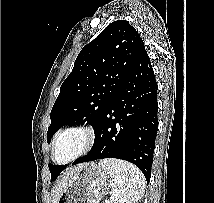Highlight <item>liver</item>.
I'll return each instance as SVG.
<instances>
[{"mask_svg": "<svg viewBox=\"0 0 214 203\" xmlns=\"http://www.w3.org/2000/svg\"><path fill=\"white\" fill-rule=\"evenodd\" d=\"M81 166L82 164L69 168L63 173L62 176H60V178L57 180V183L54 187V191L52 195L53 203H57L60 197V194L72 184Z\"/></svg>", "mask_w": 214, "mask_h": 203, "instance_id": "liver-1", "label": "liver"}]
</instances>
